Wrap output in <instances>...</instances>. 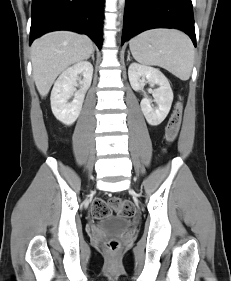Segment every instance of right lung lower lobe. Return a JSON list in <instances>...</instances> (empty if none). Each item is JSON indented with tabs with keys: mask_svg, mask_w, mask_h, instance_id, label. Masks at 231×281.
Instances as JSON below:
<instances>
[{
	"mask_svg": "<svg viewBox=\"0 0 231 281\" xmlns=\"http://www.w3.org/2000/svg\"><path fill=\"white\" fill-rule=\"evenodd\" d=\"M104 0H33L29 44L44 33L69 30L89 35L101 48Z\"/></svg>",
	"mask_w": 231,
	"mask_h": 281,
	"instance_id": "98d812e1",
	"label": "right lung lower lobe"
}]
</instances>
